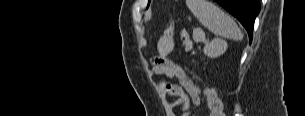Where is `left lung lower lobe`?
Instances as JSON below:
<instances>
[{"label": "left lung lower lobe", "mask_w": 305, "mask_h": 116, "mask_svg": "<svg viewBox=\"0 0 305 116\" xmlns=\"http://www.w3.org/2000/svg\"><path fill=\"white\" fill-rule=\"evenodd\" d=\"M245 27L252 41L254 21L260 11L259 0H215Z\"/></svg>", "instance_id": "obj_1"}]
</instances>
